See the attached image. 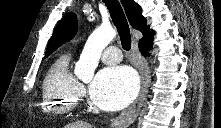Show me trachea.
<instances>
[{"instance_id":"3493384b","label":"trachea","mask_w":221,"mask_h":128,"mask_svg":"<svg viewBox=\"0 0 221 128\" xmlns=\"http://www.w3.org/2000/svg\"><path fill=\"white\" fill-rule=\"evenodd\" d=\"M111 15L112 21L117 28L120 36L121 45L124 50L131 48V35L130 29L123 12V9L118 0H103Z\"/></svg>"}]
</instances>
